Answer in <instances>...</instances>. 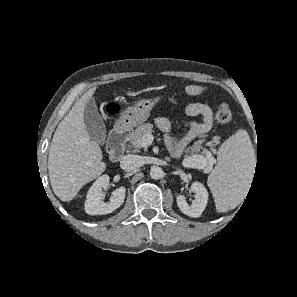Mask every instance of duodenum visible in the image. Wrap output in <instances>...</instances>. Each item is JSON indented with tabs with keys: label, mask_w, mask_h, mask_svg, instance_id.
<instances>
[{
	"label": "duodenum",
	"mask_w": 297,
	"mask_h": 297,
	"mask_svg": "<svg viewBox=\"0 0 297 297\" xmlns=\"http://www.w3.org/2000/svg\"><path fill=\"white\" fill-rule=\"evenodd\" d=\"M130 132V126L125 122H121L110 133L108 151L112 161L117 162L122 157Z\"/></svg>",
	"instance_id": "1"
}]
</instances>
